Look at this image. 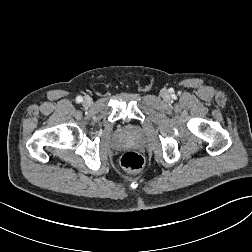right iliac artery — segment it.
I'll list each match as a JSON object with an SVG mask.
<instances>
[{"label":"right iliac artery","mask_w":252,"mask_h":252,"mask_svg":"<svg viewBox=\"0 0 252 252\" xmlns=\"http://www.w3.org/2000/svg\"><path fill=\"white\" fill-rule=\"evenodd\" d=\"M82 97L81 96H78L77 98H76V101L78 102V103H80V102H82Z\"/></svg>","instance_id":"right-iliac-artery-1"}]
</instances>
